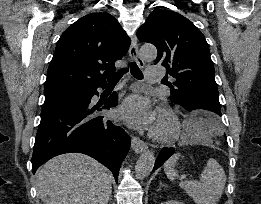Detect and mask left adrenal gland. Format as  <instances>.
Returning a JSON list of instances; mask_svg holds the SVG:
<instances>
[{"label":"left adrenal gland","instance_id":"1","mask_svg":"<svg viewBox=\"0 0 261 204\" xmlns=\"http://www.w3.org/2000/svg\"><path fill=\"white\" fill-rule=\"evenodd\" d=\"M162 187H166V186H165V185H163L162 183H160L159 190H160Z\"/></svg>","mask_w":261,"mask_h":204}]
</instances>
